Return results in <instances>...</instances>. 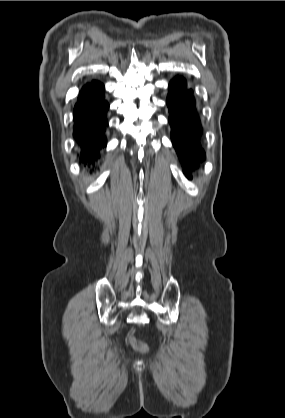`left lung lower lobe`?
Segmentation results:
<instances>
[{"label": "left lung lower lobe", "mask_w": 285, "mask_h": 418, "mask_svg": "<svg viewBox=\"0 0 285 418\" xmlns=\"http://www.w3.org/2000/svg\"><path fill=\"white\" fill-rule=\"evenodd\" d=\"M167 106L171 140L182 165L186 166L184 174L191 179L190 167H198L206 156L200 145L202 128L196 98L185 78L175 77L170 82Z\"/></svg>", "instance_id": "left-lung-lower-lobe-1"}]
</instances>
